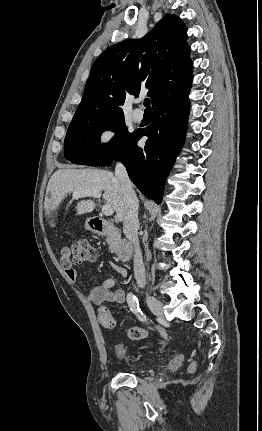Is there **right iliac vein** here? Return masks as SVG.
<instances>
[{"mask_svg":"<svg viewBox=\"0 0 262 431\" xmlns=\"http://www.w3.org/2000/svg\"><path fill=\"white\" fill-rule=\"evenodd\" d=\"M146 301H147V305L150 308V310L156 314V315H161L163 313V303L158 300L156 297L150 295V294H146Z\"/></svg>","mask_w":262,"mask_h":431,"instance_id":"right-iliac-vein-1","label":"right iliac vein"}]
</instances>
